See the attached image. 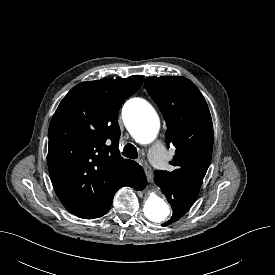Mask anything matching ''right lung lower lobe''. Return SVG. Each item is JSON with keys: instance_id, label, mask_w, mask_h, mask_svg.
Returning <instances> with one entry per match:
<instances>
[{"instance_id": "1", "label": "right lung lower lobe", "mask_w": 275, "mask_h": 275, "mask_svg": "<svg viewBox=\"0 0 275 275\" xmlns=\"http://www.w3.org/2000/svg\"><path fill=\"white\" fill-rule=\"evenodd\" d=\"M145 185L146 177L142 168L139 167V165L132 171V173L128 176V178L125 180V183L123 184V186L135 187L139 190L143 189ZM110 206L104 211L101 216H103L109 210Z\"/></svg>"}]
</instances>
